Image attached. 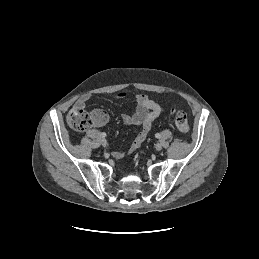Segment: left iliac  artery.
Returning <instances> with one entry per match:
<instances>
[{
  "mask_svg": "<svg viewBox=\"0 0 259 259\" xmlns=\"http://www.w3.org/2000/svg\"><path fill=\"white\" fill-rule=\"evenodd\" d=\"M155 137L160 138V134L159 133L155 134Z\"/></svg>",
  "mask_w": 259,
  "mask_h": 259,
  "instance_id": "left-iliac-artery-1",
  "label": "left iliac artery"
}]
</instances>
